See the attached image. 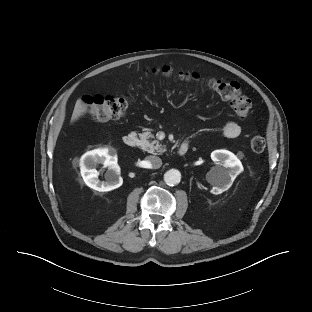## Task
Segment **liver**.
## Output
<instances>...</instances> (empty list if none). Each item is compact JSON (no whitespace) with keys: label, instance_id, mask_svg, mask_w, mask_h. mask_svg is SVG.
<instances>
[{"label":"liver","instance_id":"6515ba94","mask_svg":"<svg viewBox=\"0 0 312 312\" xmlns=\"http://www.w3.org/2000/svg\"><path fill=\"white\" fill-rule=\"evenodd\" d=\"M85 113V108L82 105L81 101L78 100L76 102L72 117H71V123L78 120L79 117H81Z\"/></svg>","mask_w":312,"mask_h":312}]
</instances>
